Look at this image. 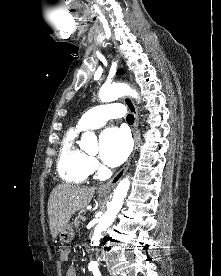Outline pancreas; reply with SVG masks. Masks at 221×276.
Returning a JSON list of instances; mask_svg holds the SVG:
<instances>
[{
	"label": "pancreas",
	"mask_w": 221,
	"mask_h": 276,
	"mask_svg": "<svg viewBox=\"0 0 221 276\" xmlns=\"http://www.w3.org/2000/svg\"><path fill=\"white\" fill-rule=\"evenodd\" d=\"M82 213H83V211H80L79 213H78V215L76 216V218L74 219V222H73V224H74V226H75V228L76 229H78V226L80 225V220L82 219Z\"/></svg>",
	"instance_id": "cf45deb5"
}]
</instances>
